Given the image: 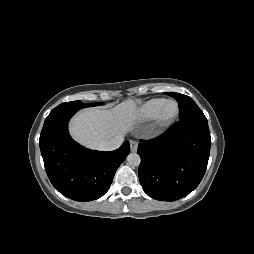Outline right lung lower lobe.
I'll list each match as a JSON object with an SVG mask.
<instances>
[{"label":"right lung lower lobe","instance_id":"1","mask_svg":"<svg viewBox=\"0 0 254 254\" xmlns=\"http://www.w3.org/2000/svg\"><path fill=\"white\" fill-rule=\"evenodd\" d=\"M80 108L65 104L54 108L44 122L39 145L52 185L72 200L92 201L109 190L130 144L125 141L115 151L101 152L76 143L69 135L68 122Z\"/></svg>","mask_w":254,"mask_h":254}]
</instances>
